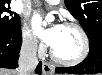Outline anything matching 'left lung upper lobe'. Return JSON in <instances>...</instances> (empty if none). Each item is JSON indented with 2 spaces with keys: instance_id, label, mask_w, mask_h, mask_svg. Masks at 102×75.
<instances>
[{
  "instance_id": "1",
  "label": "left lung upper lobe",
  "mask_w": 102,
  "mask_h": 75,
  "mask_svg": "<svg viewBox=\"0 0 102 75\" xmlns=\"http://www.w3.org/2000/svg\"><path fill=\"white\" fill-rule=\"evenodd\" d=\"M65 5L89 39L102 34V0H65Z\"/></svg>"
}]
</instances>
